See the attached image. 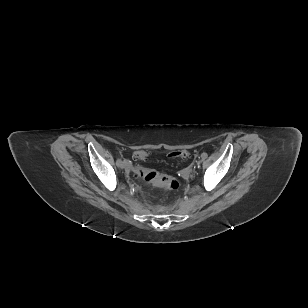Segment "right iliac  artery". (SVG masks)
I'll use <instances>...</instances> for the list:
<instances>
[{"instance_id": "obj_1", "label": "right iliac artery", "mask_w": 308, "mask_h": 308, "mask_svg": "<svg viewBox=\"0 0 308 308\" xmlns=\"http://www.w3.org/2000/svg\"><path fill=\"white\" fill-rule=\"evenodd\" d=\"M120 162H121V159H118V160L116 161V165L118 166V165L120 164Z\"/></svg>"}]
</instances>
